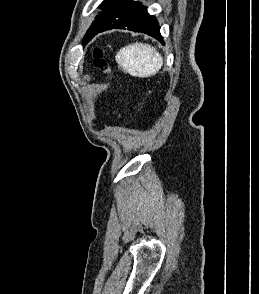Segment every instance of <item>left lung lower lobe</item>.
<instances>
[{
	"mask_svg": "<svg viewBox=\"0 0 259 294\" xmlns=\"http://www.w3.org/2000/svg\"><path fill=\"white\" fill-rule=\"evenodd\" d=\"M111 29H128L134 32L146 33L163 43L156 18L149 15L146 8L138 1L128 0L117 6L98 28L95 35Z\"/></svg>",
	"mask_w": 259,
	"mask_h": 294,
	"instance_id": "1",
	"label": "left lung lower lobe"
}]
</instances>
